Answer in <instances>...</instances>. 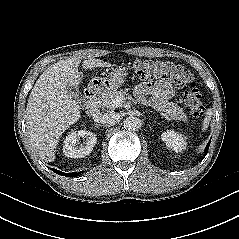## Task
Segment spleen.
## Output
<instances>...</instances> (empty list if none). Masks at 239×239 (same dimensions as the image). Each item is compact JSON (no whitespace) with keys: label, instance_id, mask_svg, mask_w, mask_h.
<instances>
[{"label":"spleen","instance_id":"obj_1","mask_svg":"<svg viewBox=\"0 0 239 239\" xmlns=\"http://www.w3.org/2000/svg\"><path fill=\"white\" fill-rule=\"evenodd\" d=\"M212 115H213L212 110L208 109L207 112H206V116H205V118L203 120V123H202V131H205L208 128Z\"/></svg>","mask_w":239,"mask_h":239}]
</instances>
